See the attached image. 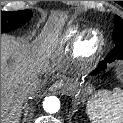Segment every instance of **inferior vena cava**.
Returning a JSON list of instances; mask_svg holds the SVG:
<instances>
[{"label":"inferior vena cava","mask_w":123,"mask_h":123,"mask_svg":"<svg viewBox=\"0 0 123 123\" xmlns=\"http://www.w3.org/2000/svg\"><path fill=\"white\" fill-rule=\"evenodd\" d=\"M40 87L38 78L26 79L22 84V90L26 95L34 94Z\"/></svg>","instance_id":"1"}]
</instances>
